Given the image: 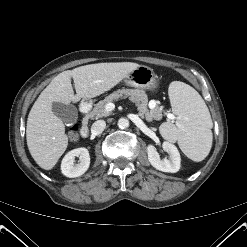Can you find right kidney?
I'll return each instance as SVG.
<instances>
[{"mask_svg":"<svg viewBox=\"0 0 247 247\" xmlns=\"http://www.w3.org/2000/svg\"><path fill=\"white\" fill-rule=\"evenodd\" d=\"M75 157H79L80 163L74 165ZM90 155L86 148L81 147L69 151L61 163V172L69 178H75L83 175L89 168Z\"/></svg>","mask_w":247,"mask_h":247,"instance_id":"1","label":"right kidney"}]
</instances>
